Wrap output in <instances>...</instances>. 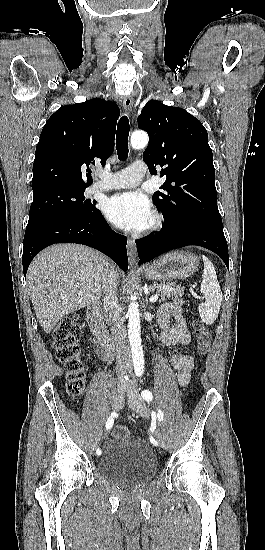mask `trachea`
<instances>
[{
  "label": "trachea",
  "mask_w": 265,
  "mask_h": 550,
  "mask_svg": "<svg viewBox=\"0 0 265 550\" xmlns=\"http://www.w3.org/2000/svg\"><path fill=\"white\" fill-rule=\"evenodd\" d=\"M129 120L127 116H122L118 122L116 134V148L118 158L122 161L128 157V136H129Z\"/></svg>",
  "instance_id": "1"
}]
</instances>
